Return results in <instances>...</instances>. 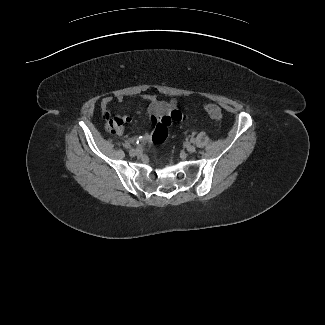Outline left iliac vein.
<instances>
[{"mask_svg":"<svg viewBox=\"0 0 325 325\" xmlns=\"http://www.w3.org/2000/svg\"><path fill=\"white\" fill-rule=\"evenodd\" d=\"M186 148L189 153H194L196 151V148L191 144L187 145Z\"/></svg>","mask_w":325,"mask_h":325,"instance_id":"left-iliac-vein-1","label":"left iliac vein"}]
</instances>
